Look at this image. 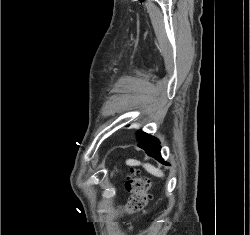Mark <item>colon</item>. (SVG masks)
Segmentation results:
<instances>
[{"instance_id": "obj_1", "label": "colon", "mask_w": 250, "mask_h": 235, "mask_svg": "<svg viewBox=\"0 0 250 235\" xmlns=\"http://www.w3.org/2000/svg\"><path fill=\"white\" fill-rule=\"evenodd\" d=\"M127 191L130 193L127 208L131 212L141 211L148 201V190L150 188V181L141 176L139 171L132 169L127 176L125 183Z\"/></svg>"}]
</instances>
